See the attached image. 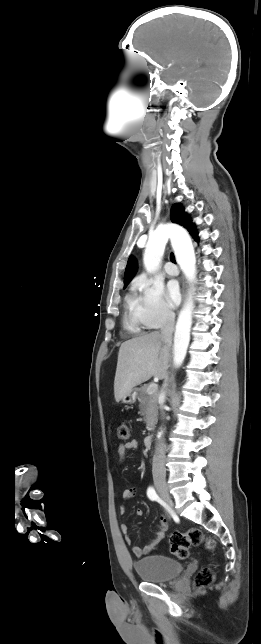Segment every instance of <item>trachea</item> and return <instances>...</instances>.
Wrapping results in <instances>:
<instances>
[{
	"instance_id": "1",
	"label": "trachea",
	"mask_w": 261,
	"mask_h": 644,
	"mask_svg": "<svg viewBox=\"0 0 261 644\" xmlns=\"http://www.w3.org/2000/svg\"><path fill=\"white\" fill-rule=\"evenodd\" d=\"M170 259H171V261H172L173 263H175V262H176V261H175V257H174V255H173V253H171V255H170Z\"/></svg>"
}]
</instances>
